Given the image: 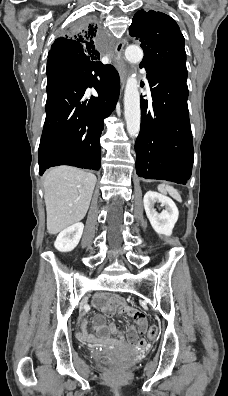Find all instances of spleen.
I'll return each mask as SVG.
<instances>
[{
	"label": "spleen",
	"mask_w": 228,
	"mask_h": 396,
	"mask_svg": "<svg viewBox=\"0 0 228 396\" xmlns=\"http://www.w3.org/2000/svg\"><path fill=\"white\" fill-rule=\"evenodd\" d=\"M158 191L161 192L162 194L168 193L172 198H174L175 200H177L179 202L182 201L179 192L172 186H169L167 184H160V185H158Z\"/></svg>",
	"instance_id": "spleen-1"
}]
</instances>
